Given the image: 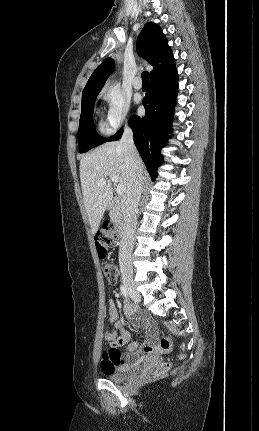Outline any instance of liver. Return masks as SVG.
<instances>
[{"mask_svg": "<svg viewBox=\"0 0 259 431\" xmlns=\"http://www.w3.org/2000/svg\"><path fill=\"white\" fill-rule=\"evenodd\" d=\"M142 171L144 170L141 163ZM117 175L126 192L131 184L124 152L120 142H107L97 147L80 160V180L84 206L93 233L99 229L106 208L113 197V188L108 179ZM103 179V181H102Z\"/></svg>", "mask_w": 259, "mask_h": 431, "instance_id": "liver-1", "label": "liver"}]
</instances>
